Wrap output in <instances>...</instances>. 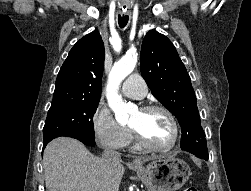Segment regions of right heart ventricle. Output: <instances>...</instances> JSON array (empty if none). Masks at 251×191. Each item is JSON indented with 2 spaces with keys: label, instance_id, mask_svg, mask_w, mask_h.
I'll return each instance as SVG.
<instances>
[{
  "label": "right heart ventricle",
  "instance_id": "right-heart-ventricle-1",
  "mask_svg": "<svg viewBox=\"0 0 251 191\" xmlns=\"http://www.w3.org/2000/svg\"><path fill=\"white\" fill-rule=\"evenodd\" d=\"M132 151L134 152H143V148L141 146H139V144L137 142H135L132 146Z\"/></svg>",
  "mask_w": 251,
  "mask_h": 191
}]
</instances>
